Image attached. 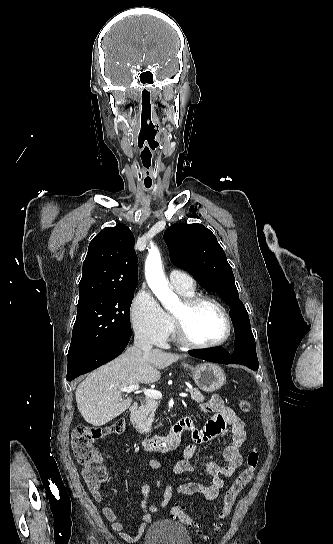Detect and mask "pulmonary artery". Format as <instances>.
I'll return each mask as SVG.
<instances>
[{
    "label": "pulmonary artery",
    "mask_w": 333,
    "mask_h": 544,
    "mask_svg": "<svg viewBox=\"0 0 333 544\" xmlns=\"http://www.w3.org/2000/svg\"><path fill=\"white\" fill-rule=\"evenodd\" d=\"M171 286L176 290L188 291L194 289L193 278L180 270H171L169 273Z\"/></svg>",
    "instance_id": "e3ab8cb5"
}]
</instances>
